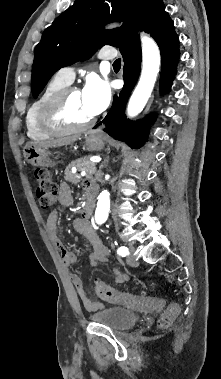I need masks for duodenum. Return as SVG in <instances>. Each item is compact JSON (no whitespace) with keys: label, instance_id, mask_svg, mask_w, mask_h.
I'll return each mask as SVG.
<instances>
[{"label":"duodenum","instance_id":"obj_1","mask_svg":"<svg viewBox=\"0 0 221 379\" xmlns=\"http://www.w3.org/2000/svg\"><path fill=\"white\" fill-rule=\"evenodd\" d=\"M87 201L84 207V214L90 217L96 206V196H97V188L94 184H89L87 189Z\"/></svg>","mask_w":221,"mask_h":379}]
</instances>
